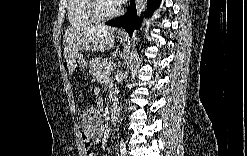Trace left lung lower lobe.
Wrapping results in <instances>:
<instances>
[{
	"instance_id": "left-lung-lower-lobe-1",
	"label": "left lung lower lobe",
	"mask_w": 247,
	"mask_h": 156,
	"mask_svg": "<svg viewBox=\"0 0 247 156\" xmlns=\"http://www.w3.org/2000/svg\"><path fill=\"white\" fill-rule=\"evenodd\" d=\"M160 0H149L148 1V13L152 14L153 11L159 6ZM141 23V18L137 17L135 1H130V9L126 12L125 15L106 22V25L114 26V27H122L124 28L130 36L134 31V28L137 24Z\"/></svg>"
}]
</instances>
